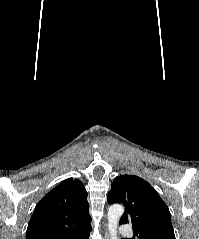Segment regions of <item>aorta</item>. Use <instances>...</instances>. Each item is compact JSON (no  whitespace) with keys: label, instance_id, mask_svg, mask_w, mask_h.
<instances>
[{"label":"aorta","instance_id":"obj_1","mask_svg":"<svg viewBox=\"0 0 199 239\" xmlns=\"http://www.w3.org/2000/svg\"><path fill=\"white\" fill-rule=\"evenodd\" d=\"M124 213V208L122 205L114 204L108 210V230L110 239H119L117 234V228L119 220Z\"/></svg>","mask_w":199,"mask_h":239}]
</instances>
